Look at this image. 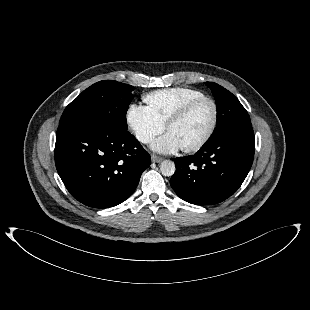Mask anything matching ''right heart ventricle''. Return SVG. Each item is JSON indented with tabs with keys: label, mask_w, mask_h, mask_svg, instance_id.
<instances>
[{
	"label": "right heart ventricle",
	"mask_w": 310,
	"mask_h": 310,
	"mask_svg": "<svg viewBox=\"0 0 310 310\" xmlns=\"http://www.w3.org/2000/svg\"><path fill=\"white\" fill-rule=\"evenodd\" d=\"M198 90L175 87L157 90L143 97L147 109L163 125L187 102L203 97Z\"/></svg>",
	"instance_id": "right-heart-ventricle-1"
}]
</instances>
